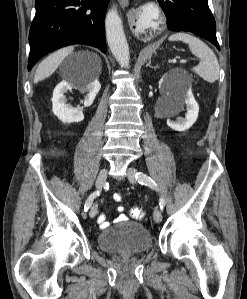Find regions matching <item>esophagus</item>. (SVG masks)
<instances>
[{
  "instance_id": "obj_1",
  "label": "esophagus",
  "mask_w": 247,
  "mask_h": 299,
  "mask_svg": "<svg viewBox=\"0 0 247 299\" xmlns=\"http://www.w3.org/2000/svg\"><path fill=\"white\" fill-rule=\"evenodd\" d=\"M120 1V3L122 4V5H127L128 4V0H119Z\"/></svg>"
}]
</instances>
